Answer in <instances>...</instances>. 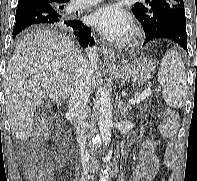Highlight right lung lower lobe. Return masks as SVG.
Masks as SVG:
<instances>
[{
	"instance_id": "98d812e1",
	"label": "right lung lower lobe",
	"mask_w": 197,
	"mask_h": 181,
	"mask_svg": "<svg viewBox=\"0 0 197 181\" xmlns=\"http://www.w3.org/2000/svg\"><path fill=\"white\" fill-rule=\"evenodd\" d=\"M43 0H19L16 10L14 36L31 25H53L73 32L82 47L94 44L91 29L79 20H66L57 8Z\"/></svg>"
}]
</instances>
